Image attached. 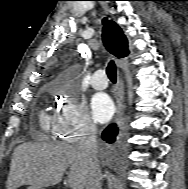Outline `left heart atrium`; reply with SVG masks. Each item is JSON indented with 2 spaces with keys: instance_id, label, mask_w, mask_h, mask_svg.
Instances as JSON below:
<instances>
[{
  "instance_id": "obj_1",
  "label": "left heart atrium",
  "mask_w": 188,
  "mask_h": 189,
  "mask_svg": "<svg viewBox=\"0 0 188 189\" xmlns=\"http://www.w3.org/2000/svg\"><path fill=\"white\" fill-rule=\"evenodd\" d=\"M91 110L94 118L100 122H107L114 113V105L105 93H97L91 99Z\"/></svg>"
}]
</instances>
